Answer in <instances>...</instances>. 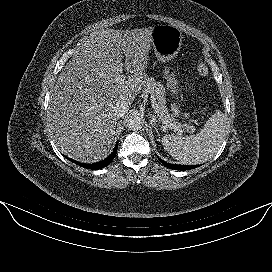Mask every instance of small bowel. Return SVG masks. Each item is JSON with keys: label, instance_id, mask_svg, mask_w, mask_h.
I'll return each instance as SVG.
<instances>
[{"label": "small bowel", "instance_id": "c3829d8e", "mask_svg": "<svg viewBox=\"0 0 272 272\" xmlns=\"http://www.w3.org/2000/svg\"><path fill=\"white\" fill-rule=\"evenodd\" d=\"M168 85H169L170 90L173 93H177L178 92L177 82H176V80H175L174 77H172V76L168 77Z\"/></svg>", "mask_w": 272, "mask_h": 272}]
</instances>
